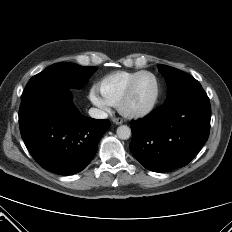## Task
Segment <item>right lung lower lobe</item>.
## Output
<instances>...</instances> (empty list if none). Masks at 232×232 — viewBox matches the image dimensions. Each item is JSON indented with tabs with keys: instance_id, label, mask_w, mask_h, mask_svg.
Segmentation results:
<instances>
[{
	"instance_id": "obj_1",
	"label": "right lung lower lobe",
	"mask_w": 232,
	"mask_h": 232,
	"mask_svg": "<svg viewBox=\"0 0 232 232\" xmlns=\"http://www.w3.org/2000/svg\"><path fill=\"white\" fill-rule=\"evenodd\" d=\"M19 125L23 141L44 169L71 175L93 159L109 120L79 114L70 88H49L21 99Z\"/></svg>"
}]
</instances>
